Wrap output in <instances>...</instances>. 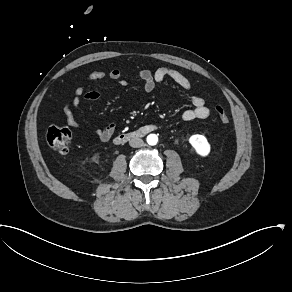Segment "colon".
Masks as SVG:
<instances>
[{
	"mask_svg": "<svg viewBox=\"0 0 292 292\" xmlns=\"http://www.w3.org/2000/svg\"><path fill=\"white\" fill-rule=\"evenodd\" d=\"M214 111L223 124L230 125V118L222 105H215ZM70 140L71 133L67 128L50 127L46 132V141L54 153L65 154Z\"/></svg>",
	"mask_w": 292,
	"mask_h": 292,
	"instance_id": "1",
	"label": "colon"
}]
</instances>
